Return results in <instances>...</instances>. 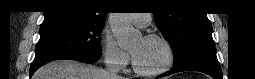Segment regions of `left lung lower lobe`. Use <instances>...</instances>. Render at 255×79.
I'll use <instances>...</instances> for the list:
<instances>
[{"label":"left lung lower lobe","instance_id":"0a47b994","mask_svg":"<svg viewBox=\"0 0 255 79\" xmlns=\"http://www.w3.org/2000/svg\"><path fill=\"white\" fill-rule=\"evenodd\" d=\"M187 70L203 72L212 76L214 79H223L216 54H206L188 60L178 66H175L171 72L162 74L160 77Z\"/></svg>","mask_w":255,"mask_h":79}]
</instances>
